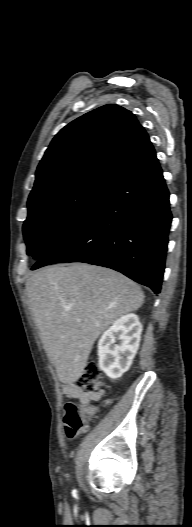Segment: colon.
I'll return each mask as SVG.
<instances>
[{
	"label": "colon",
	"instance_id": "5ec220e1",
	"mask_svg": "<svg viewBox=\"0 0 192 527\" xmlns=\"http://www.w3.org/2000/svg\"><path fill=\"white\" fill-rule=\"evenodd\" d=\"M77 386L87 392H95L101 387L100 368L97 363L89 362L82 375L76 382ZM64 428L69 439L76 438L87 428V422L97 412V408L90 405H80L69 402L65 405Z\"/></svg>",
	"mask_w": 192,
	"mask_h": 527
}]
</instances>
